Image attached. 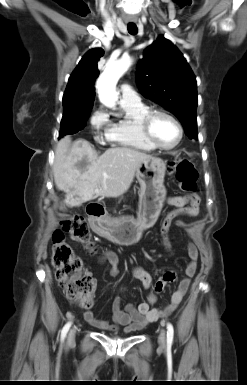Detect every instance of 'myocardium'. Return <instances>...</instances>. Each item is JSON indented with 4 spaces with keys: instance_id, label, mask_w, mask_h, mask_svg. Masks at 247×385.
Masks as SVG:
<instances>
[{
    "instance_id": "myocardium-1",
    "label": "myocardium",
    "mask_w": 247,
    "mask_h": 385,
    "mask_svg": "<svg viewBox=\"0 0 247 385\" xmlns=\"http://www.w3.org/2000/svg\"><path fill=\"white\" fill-rule=\"evenodd\" d=\"M157 116H165V117L169 118L170 120H172L173 123L176 125L178 132H179V136H178L177 141L173 145L163 146V145L159 144L156 141L155 137L153 136L152 123ZM140 127H141V131H142L144 137L147 139V141L153 147H155L156 149H160V150L169 151V150L175 149L181 143L183 136H184L183 126L180 123V121L170 112L165 111V110H161V109L149 110L142 117V119L140 121Z\"/></svg>"
}]
</instances>
